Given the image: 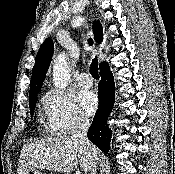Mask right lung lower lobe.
I'll list each match as a JSON object with an SVG mask.
<instances>
[{"instance_id": "1", "label": "right lung lower lobe", "mask_w": 175, "mask_h": 174, "mask_svg": "<svg viewBox=\"0 0 175 174\" xmlns=\"http://www.w3.org/2000/svg\"><path fill=\"white\" fill-rule=\"evenodd\" d=\"M99 106L88 130L87 137L103 152L110 149L111 130L107 120L115 101L114 78L108 63L100 66Z\"/></svg>"}]
</instances>
